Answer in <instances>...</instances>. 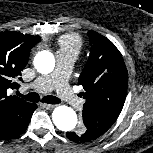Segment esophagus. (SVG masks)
<instances>
[{"instance_id": "esophagus-1", "label": "esophagus", "mask_w": 153, "mask_h": 153, "mask_svg": "<svg viewBox=\"0 0 153 153\" xmlns=\"http://www.w3.org/2000/svg\"><path fill=\"white\" fill-rule=\"evenodd\" d=\"M41 106L43 108H46V109H49V110H51L55 107V105H53V104H45V103H42Z\"/></svg>"}]
</instances>
